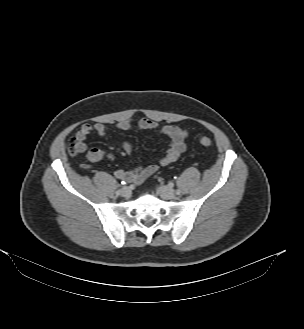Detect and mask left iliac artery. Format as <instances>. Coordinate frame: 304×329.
Instances as JSON below:
<instances>
[{
	"instance_id": "1",
	"label": "left iliac artery",
	"mask_w": 304,
	"mask_h": 329,
	"mask_svg": "<svg viewBox=\"0 0 304 329\" xmlns=\"http://www.w3.org/2000/svg\"><path fill=\"white\" fill-rule=\"evenodd\" d=\"M180 193H181V191H180V190H177V191H176V194H178V195H179Z\"/></svg>"
}]
</instances>
